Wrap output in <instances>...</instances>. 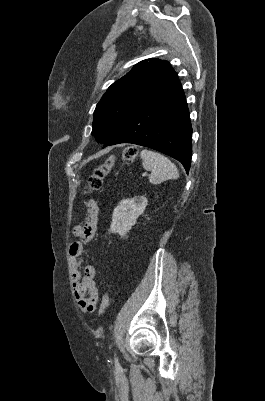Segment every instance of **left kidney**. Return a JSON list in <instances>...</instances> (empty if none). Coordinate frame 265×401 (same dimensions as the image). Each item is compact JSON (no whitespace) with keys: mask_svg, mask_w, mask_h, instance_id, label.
<instances>
[{"mask_svg":"<svg viewBox=\"0 0 265 401\" xmlns=\"http://www.w3.org/2000/svg\"><path fill=\"white\" fill-rule=\"evenodd\" d=\"M147 203L146 196L123 198L113 211L110 233H118L121 237H125L126 233L136 225L139 215H143Z\"/></svg>","mask_w":265,"mask_h":401,"instance_id":"obj_1","label":"left kidney"}]
</instances>
